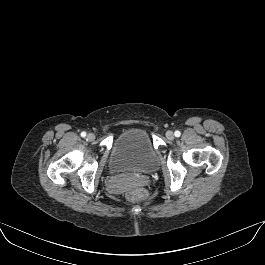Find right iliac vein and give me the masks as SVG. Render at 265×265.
<instances>
[{
    "mask_svg": "<svg viewBox=\"0 0 265 265\" xmlns=\"http://www.w3.org/2000/svg\"><path fill=\"white\" fill-rule=\"evenodd\" d=\"M86 138H87L88 141H94L95 140V135L93 133H89Z\"/></svg>",
    "mask_w": 265,
    "mask_h": 265,
    "instance_id": "63e3f726",
    "label": "right iliac vein"
}]
</instances>
